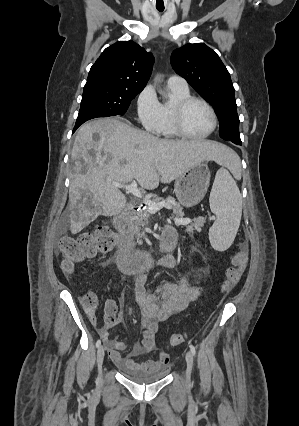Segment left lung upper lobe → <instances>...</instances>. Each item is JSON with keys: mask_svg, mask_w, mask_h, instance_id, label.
<instances>
[{"mask_svg": "<svg viewBox=\"0 0 299 426\" xmlns=\"http://www.w3.org/2000/svg\"><path fill=\"white\" fill-rule=\"evenodd\" d=\"M171 65L213 105L220 122V137L242 145L234 87L217 53L204 43H189L172 53Z\"/></svg>", "mask_w": 299, "mask_h": 426, "instance_id": "5c2ea615", "label": "left lung upper lobe"}]
</instances>
